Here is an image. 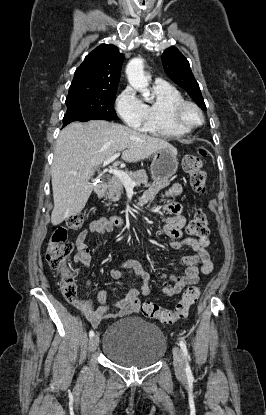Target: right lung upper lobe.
Segmentation results:
<instances>
[{"label":"right lung upper lobe","instance_id":"right-lung-upper-lobe-1","mask_svg":"<svg viewBox=\"0 0 266 415\" xmlns=\"http://www.w3.org/2000/svg\"><path fill=\"white\" fill-rule=\"evenodd\" d=\"M123 60L115 45L101 44L77 68L69 92L117 90Z\"/></svg>","mask_w":266,"mask_h":415}]
</instances>
